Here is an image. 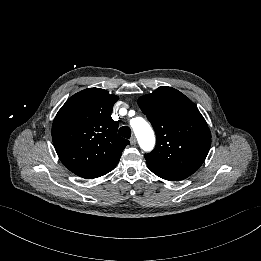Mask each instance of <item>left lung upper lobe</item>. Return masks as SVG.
I'll return each instance as SVG.
<instances>
[{
	"label": "left lung upper lobe",
	"instance_id": "left-lung-upper-lobe-1",
	"mask_svg": "<svg viewBox=\"0 0 261 261\" xmlns=\"http://www.w3.org/2000/svg\"><path fill=\"white\" fill-rule=\"evenodd\" d=\"M138 105L156 133L147 163L190 176L204 162L211 145L208 125L196 105L178 90L162 86L139 98Z\"/></svg>",
	"mask_w": 261,
	"mask_h": 261
}]
</instances>
